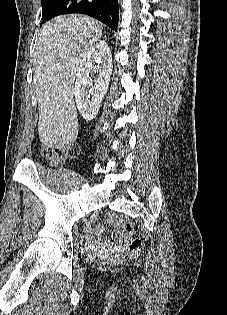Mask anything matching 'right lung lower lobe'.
<instances>
[{"instance_id": "1", "label": "right lung lower lobe", "mask_w": 227, "mask_h": 315, "mask_svg": "<svg viewBox=\"0 0 227 315\" xmlns=\"http://www.w3.org/2000/svg\"><path fill=\"white\" fill-rule=\"evenodd\" d=\"M71 13L91 16L117 31L119 21L118 0H58L45 15V22L51 18Z\"/></svg>"}]
</instances>
